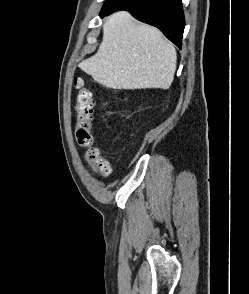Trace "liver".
Wrapping results in <instances>:
<instances>
[{
  "mask_svg": "<svg viewBox=\"0 0 249 294\" xmlns=\"http://www.w3.org/2000/svg\"><path fill=\"white\" fill-rule=\"evenodd\" d=\"M176 64L174 45L158 29L137 23L128 12L120 11L106 19L97 53L79 67L112 89H168Z\"/></svg>",
  "mask_w": 249,
  "mask_h": 294,
  "instance_id": "obj_1",
  "label": "liver"
}]
</instances>
